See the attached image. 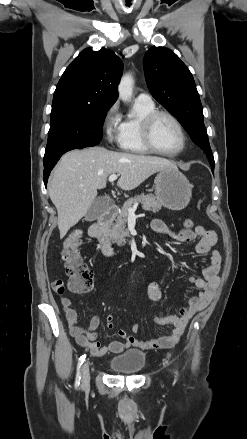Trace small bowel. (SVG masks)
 Returning a JSON list of instances; mask_svg holds the SVG:
<instances>
[{"mask_svg": "<svg viewBox=\"0 0 247 439\" xmlns=\"http://www.w3.org/2000/svg\"><path fill=\"white\" fill-rule=\"evenodd\" d=\"M151 228L154 232L166 235L179 243H189L197 238L199 239L195 248L196 253L199 255H210V265L203 270V277L191 276L189 282L201 291L197 296L190 299L189 304L182 308L178 315H170L166 317L155 315L153 317V321L157 325L173 326V330L169 335L140 341L134 336L128 335L124 329H119L118 335L123 338L124 341L111 340L109 344L103 345L96 341V330L100 325L99 316L93 315L86 328L80 327L77 322V312L73 308L71 300L64 295V282L61 280L54 281L52 283V288L60 297L69 332L75 338L77 344L85 348L91 356L101 357L108 353L119 354L129 347L145 350L173 347L180 340L193 315L205 308L212 300L214 292L219 284L218 274L221 267L220 253L216 250H212L217 242L216 233L202 225L197 226L195 230L182 229L179 231H173L160 219H154L151 222ZM147 292L152 301H159L161 299L162 294L158 283H150ZM106 326L108 328L114 327V318L112 315L106 317ZM131 330L134 334L139 331V323L137 321L134 322ZM104 336L106 339H111L109 334H105Z\"/></svg>", "mask_w": 247, "mask_h": 439, "instance_id": "small-bowel-1", "label": "small bowel"}]
</instances>
